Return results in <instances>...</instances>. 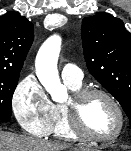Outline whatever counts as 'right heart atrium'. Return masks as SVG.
<instances>
[{
    "instance_id": "d8ad5b80",
    "label": "right heart atrium",
    "mask_w": 131,
    "mask_h": 151,
    "mask_svg": "<svg viewBox=\"0 0 131 151\" xmlns=\"http://www.w3.org/2000/svg\"><path fill=\"white\" fill-rule=\"evenodd\" d=\"M11 107L22 129L34 136L47 135L52 118L53 103L35 76L27 75L15 87Z\"/></svg>"
}]
</instances>
